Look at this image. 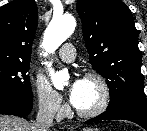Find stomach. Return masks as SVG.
Instances as JSON below:
<instances>
[{
    "mask_svg": "<svg viewBox=\"0 0 147 131\" xmlns=\"http://www.w3.org/2000/svg\"><path fill=\"white\" fill-rule=\"evenodd\" d=\"M82 131H99L96 128H84Z\"/></svg>",
    "mask_w": 147,
    "mask_h": 131,
    "instance_id": "1",
    "label": "stomach"
}]
</instances>
